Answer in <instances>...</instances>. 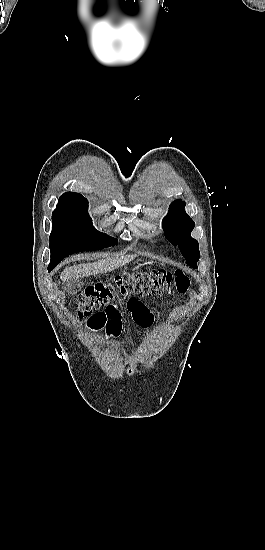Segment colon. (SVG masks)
Returning a JSON list of instances; mask_svg holds the SVG:
<instances>
[{"label":"colon","instance_id":"1","mask_svg":"<svg viewBox=\"0 0 265 550\" xmlns=\"http://www.w3.org/2000/svg\"><path fill=\"white\" fill-rule=\"evenodd\" d=\"M189 285V278L180 270L125 272L117 275L111 284H88L76 300V309L79 317H90V324L94 328L118 331L121 308L113 304L116 294L159 297L171 292L183 293ZM139 304V301H128L126 307L131 311ZM101 308L105 310L98 311ZM133 319L143 328L152 323L150 312L146 320L140 314L133 315Z\"/></svg>","mask_w":265,"mask_h":550}]
</instances>
